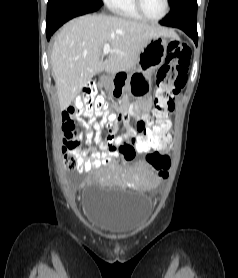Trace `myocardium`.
<instances>
[{"mask_svg": "<svg viewBox=\"0 0 238 278\" xmlns=\"http://www.w3.org/2000/svg\"><path fill=\"white\" fill-rule=\"evenodd\" d=\"M135 2V6H136V9L137 11L139 12V14L147 21H150V22H160L162 21L169 13L170 11V2L169 0H165V11L163 13V15L159 18H151L150 16H148L144 10V7H143V2L142 0H134Z\"/></svg>", "mask_w": 238, "mask_h": 278, "instance_id": "obj_1", "label": "myocardium"}]
</instances>
